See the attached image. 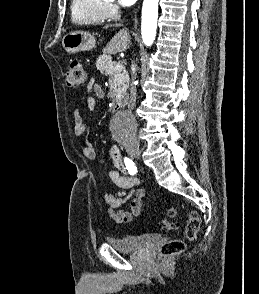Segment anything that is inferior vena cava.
I'll return each mask as SVG.
<instances>
[{"label":"inferior vena cava","instance_id":"602c4592","mask_svg":"<svg viewBox=\"0 0 259 294\" xmlns=\"http://www.w3.org/2000/svg\"><path fill=\"white\" fill-rule=\"evenodd\" d=\"M135 80H136V74L133 72V74L131 76L130 99H129V102H128V110H129L130 114L132 113V110L134 109L135 102H136L137 89H136V85H135ZM133 142H134V144L136 146H139V141H138L137 138H134Z\"/></svg>","mask_w":259,"mask_h":294}]
</instances>
